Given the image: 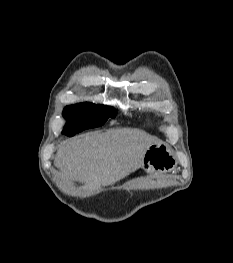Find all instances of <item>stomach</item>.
Returning a JSON list of instances; mask_svg holds the SVG:
<instances>
[{
  "label": "stomach",
  "mask_w": 233,
  "mask_h": 263,
  "mask_svg": "<svg viewBox=\"0 0 233 263\" xmlns=\"http://www.w3.org/2000/svg\"><path fill=\"white\" fill-rule=\"evenodd\" d=\"M177 165L171 149L163 143L152 144L145 152L142 168L147 172L160 173L173 170Z\"/></svg>",
  "instance_id": "stomach-1"
}]
</instances>
